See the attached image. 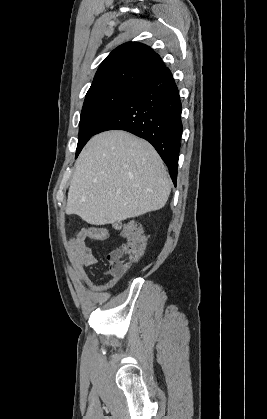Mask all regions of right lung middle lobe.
I'll return each instance as SVG.
<instances>
[{"label":"right lung middle lobe","mask_w":267,"mask_h":419,"mask_svg":"<svg viewBox=\"0 0 267 419\" xmlns=\"http://www.w3.org/2000/svg\"><path fill=\"white\" fill-rule=\"evenodd\" d=\"M135 89H121L100 92L85 98L79 123V139L76 156L95 135L103 121L119 107Z\"/></svg>","instance_id":"obj_1"}]
</instances>
